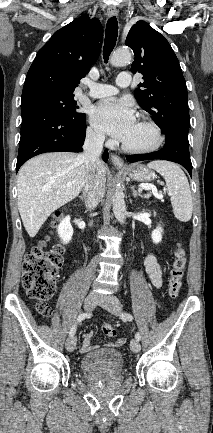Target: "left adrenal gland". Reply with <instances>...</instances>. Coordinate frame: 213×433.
Here are the masks:
<instances>
[{
  "instance_id": "1",
  "label": "left adrenal gland",
  "mask_w": 213,
  "mask_h": 433,
  "mask_svg": "<svg viewBox=\"0 0 213 433\" xmlns=\"http://www.w3.org/2000/svg\"><path fill=\"white\" fill-rule=\"evenodd\" d=\"M131 189H132V194H133V197H134V198H136V197H138V196H139V197H142L141 193H140V192H137L133 186L131 187Z\"/></svg>"
}]
</instances>
